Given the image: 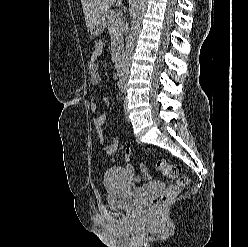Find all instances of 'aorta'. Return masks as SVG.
Instances as JSON below:
<instances>
[{"label":"aorta","mask_w":248,"mask_h":247,"mask_svg":"<svg viewBox=\"0 0 248 247\" xmlns=\"http://www.w3.org/2000/svg\"><path fill=\"white\" fill-rule=\"evenodd\" d=\"M146 3L147 0H133L131 26L129 34L126 38L125 52L122 56L121 69L118 79V85L120 87H125L128 81L130 61L136 45V38L138 35Z\"/></svg>","instance_id":"1"}]
</instances>
